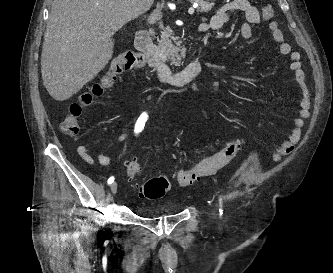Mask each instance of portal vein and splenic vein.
I'll use <instances>...</instances> for the list:
<instances>
[{"label": "portal vein and splenic vein", "instance_id": "obj_1", "mask_svg": "<svg viewBox=\"0 0 333 273\" xmlns=\"http://www.w3.org/2000/svg\"><path fill=\"white\" fill-rule=\"evenodd\" d=\"M197 6H198L197 4H194L193 7H190L188 13L192 15L194 13V8H197Z\"/></svg>", "mask_w": 333, "mask_h": 273}]
</instances>
